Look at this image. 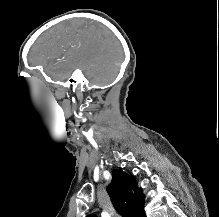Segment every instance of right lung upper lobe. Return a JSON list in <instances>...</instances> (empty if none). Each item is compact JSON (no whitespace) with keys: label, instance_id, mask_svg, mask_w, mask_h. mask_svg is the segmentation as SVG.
I'll use <instances>...</instances> for the list:
<instances>
[{"label":"right lung upper lobe","instance_id":"1","mask_svg":"<svg viewBox=\"0 0 219 217\" xmlns=\"http://www.w3.org/2000/svg\"><path fill=\"white\" fill-rule=\"evenodd\" d=\"M112 181L107 187L112 204L121 216L146 217L144 211V195L134 176L122 170H113ZM87 217H97L94 214Z\"/></svg>","mask_w":219,"mask_h":217}]
</instances>
